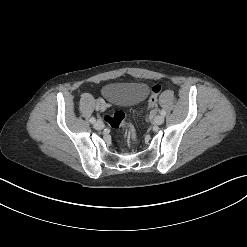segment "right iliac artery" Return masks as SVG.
Listing matches in <instances>:
<instances>
[{
	"mask_svg": "<svg viewBox=\"0 0 247 247\" xmlns=\"http://www.w3.org/2000/svg\"><path fill=\"white\" fill-rule=\"evenodd\" d=\"M90 122H91L92 124H94V123L96 122V119H95L94 117H91V118H90Z\"/></svg>",
	"mask_w": 247,
	"mask_h": 247,
	"instance_id": "obj_1",
	"label": "right iliac artery"
}]
</instances>
